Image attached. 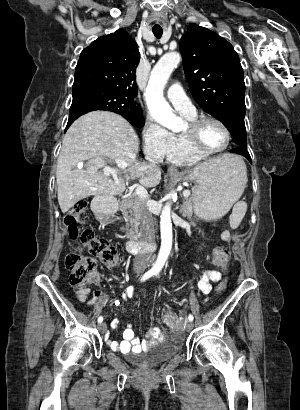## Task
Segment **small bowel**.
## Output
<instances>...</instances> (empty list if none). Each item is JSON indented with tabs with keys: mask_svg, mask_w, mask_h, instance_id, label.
I'll use <instances>...</instances> for the list:
<instances>
[{
	"mask_svg": "<svg viewBox=\"0 0 300 410\" xmlns=\"http://www.w3.org/2000/svg\"><path fill=\"white\" fill-rule=\"evenodd\" d=\"M229 232L225 231L222 234V238L229 239ZM222 278L221 272L217 270H205L203 271L200 280L198 282V289L202 294H209L212 290V283L219 281ZM95 283H100V278H95ZM135 295V290L132 287L127 288L122 294L123 300L130 299ZM77 298L79 302L86 303L88 306H96L97 311H100L103 307V301L101 294L98 291L92 290L88 287L82 288L77 292ZM118 321L112 323V328L115 329L118 326ZM163 339L162 331L159 327L151 328L146 338L140 340L135 336L134 329L131 324H128L123 331L122 341H113L108 338V343L113 350L121 352H140L145 350L155 343Z\"/></svg>",
	"mask_w": 300,
	"mask_h": 410,
	"instance_id": "small-bowel-1",
	"label": "small bowel"
}]
</instances>
